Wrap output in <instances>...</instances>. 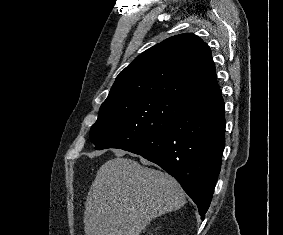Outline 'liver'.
Here are the masks:
<instances>
[{"label": "liver", "instance_id": "liver-1", "mask_svg": "<svg viewBox=\"0 0 283 235\" xmlns=\"http://www.w3.org/2000/svg\"><path fill=\"white\" fill-rule=\"evenodd\" d=\"M116 155L99 168L90 187L85 235H139L152 219L185 204V194L172 176L122 158L124 152Z\"/></svg>", "mask_w": 283, "mask_h": 235}]
</instances>
